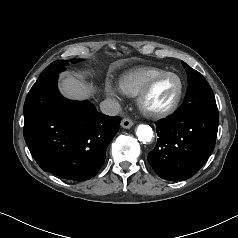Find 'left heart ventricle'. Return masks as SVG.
<instances>
[{"mask_svg":"<svg viewBox=\"0 0 238 238\" xmlns=\"http://www.w3.org/2000/svg\"><path fill=\"white\" fill-rule=\"evenodd\" d=\"M179 89V81L174 76H167L158 81L147 99V106L159 109L169 105Z\"/></svg>","mask_w":238,"mask_h":238,"instance_id":"obj_1","label":"left heart ventricle"}]
</instances>
